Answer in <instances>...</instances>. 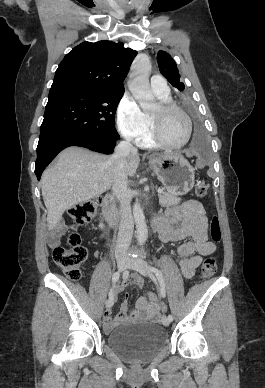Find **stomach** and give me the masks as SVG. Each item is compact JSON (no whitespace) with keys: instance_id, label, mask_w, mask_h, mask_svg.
Masks as SVG:
<instances>
[{"instance_id":"stomach-1","label":"stomach","mask_w":265,"mask_h":388,"mask_svg":"<svg viewBox=\"0 0 265 388\" xmlns=\"http://www.w3.org/2000/svg\"><path fill=\"white\" fill-rule=\"evenodd\" d=\"M149 164L168 192L184 195L193 188L194 169L182 155H153Z\"/></svg>"}]
</instances>
